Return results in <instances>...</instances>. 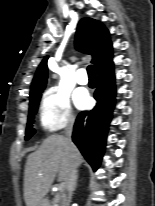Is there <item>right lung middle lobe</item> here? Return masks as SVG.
Wrapping results in <instances>:
<instances>
[{"label":"right lung middle lobe","mask_w":155,"mask_h":206,"mask_svg":"<svg viewBox=\"0 0 155 206\" xmlns=\"http://www.w3.org/2000/svg\"><path fill=\"white\" fill-rule=\"evenodd\" d=\"M41 93L42 92L30 98L28 127L26 129V135H25L26 140H28L35 133V130L32 128V123H33L34 115L37 112L38 104L41 98Z\"/></svg>","instance_id":"1"}]
</instances>
